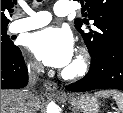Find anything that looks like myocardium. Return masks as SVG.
<instances>
[{"label": "myocardium", "mask_w": 123, "mask_h": 113, "mask_svg": "<svg viewBox=\"0 0 123 113\" xmlns=\"http://www.w3.org/2000/svg\"><path fill=\"white\" fill-rule=\"evenodd\" d=\"M89 69V58L85 52L77 55L73 63L66 68L62 75L67 79H76L84 76Z\"/></svg>", "instance_id": "obj_1"}]
</instances>
